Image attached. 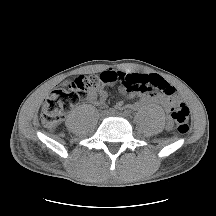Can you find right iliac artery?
I'll list each match as a JSON object with an SVG mask.
<instances>
[{
	"mask_svg": "<svg viewBox=\"0 0 216 216\" xmlns=\"http://www.w3.org/2000/svg\"><path fill=\"white\" fill-rule=\"evenodd\" d=\"M115 111H116V110H115L114 108H110V109H109V113H111V114H114Z\"/></svg>",
	"mask_w": 216,
	"mask_h": 216,
	"instance_id": "obj_1",
	"label": "right iliac artery"
}]
</instances>
